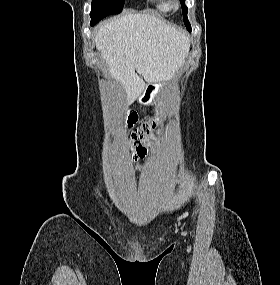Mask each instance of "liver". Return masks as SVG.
<instances>
[{
	"label": "liver",
	"mask_w": 280,
	"mask_h": 285,
	"mask_svg": "<svg viewBox=\"0 0 280 285\" xmlns=\"http://www.w3.org/2000/svg\"><path fill=\"white\" fill-rule=\"evenodd\" d=\"M94 42L107 74L125 88L127 103L146 87L138 74L147 83L166 81L189 51V39L182 32L146 13L128 14L101 26Z\"/></svg>",
	"instance_id": "1"
}]
</instances>
